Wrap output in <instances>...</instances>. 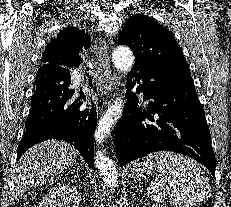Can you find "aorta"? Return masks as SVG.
<instances>
[{"label": "aorta", "mask_w": 231, "mask_h": 207, "mask_svg": "<svg viewBox=\"0 0 231 207\" xmlns=\"http://www.w3.org/2000/svg\"><path fill=\"white\" fill-rule=\"evenodd\" d=\"M112 60L117 70L127 73L132 68L135 57L128 47L119 46L114 50ZM124 105V97L116 98L101 117L94 134L97 145L103 143L113 126L121 118ZM94 162L104 184L109 188L116 187L118 184V171L113 161L102 151L98 150L95 154Z\"/></svg>", "instance_id": "1"}]
</instances>
